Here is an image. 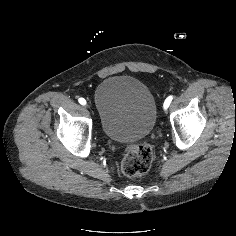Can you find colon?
<instances>
[{
    "mask_svg": "<svg viewBox=\"0 0 236 236\" xmlns=\"http://www.w3.org/2000/svg\"><path fill=\"white\" fill-rule=\"evenodd\" d=\"M154 159L152 148L143 143L130 145L124 154L121 170L129 178H136L145 174Z\"/></svg>",
    "mask_w": 236,
    "mask_h": 236,
    "instance_id": "obj_1",
    "label": "colon"
}]
</instances>
